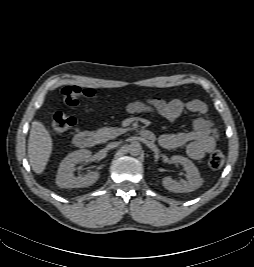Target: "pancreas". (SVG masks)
<instances>
[{"label":"pancreas","instance_id":"obj_1","mask_svg":"<svg viewBox=\"0 0 254 267\" xmlns=\"http://www.w3.org/2000/svg\"><path fill=\"white\" fill-rule=\"evenodd\" d=\"M124 130L120 129V128H100L96 131V136L102 141L105 142L109 139H113L115 137H117L118 135H120L121 133H123Z\"/></svg>","mask_w":254,"mask_h":267}]
</instances>
